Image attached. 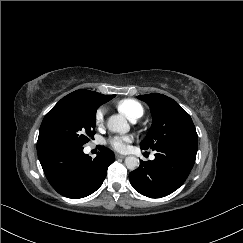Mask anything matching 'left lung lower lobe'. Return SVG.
<instances>
[{"instance_id": "left-lung-lower-lobe-1", "label": "left lung lower lobe", "mask_w": 243, "mask_h": 243, "mask_svg": "<svg viewBox=\"0 0 243 243\" xmlns=\"http://www.w3.org/2000/svg\"><path fill=\"white\" fill-rule=\"evenodd\" d=\"M197 137L168 142L156 151L153 161H141L129 174L133 188L140 194L160 198L177 190L188 177L196 159Z\"/></svg>"}]
</instances>
